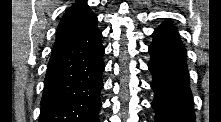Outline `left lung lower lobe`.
<instances>
[{"label": "left lung lower lobe", "instance_id": "left-lung-lower-lobe-1", "mask_svg": "<svg viewBox=\"0 0 221 122\" xmlns=\"http://www.w3.org/2000/svg\"><path fill=\"white\" fill-rule=\"evenodd\" d=\"M149 53L155 122H194L186 50L171 23L165 22L154 31Z\"/></svg>", "mask_w": 221, "mask_h": 122}]
</instances>
